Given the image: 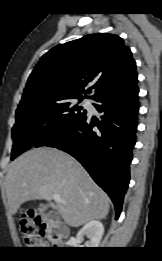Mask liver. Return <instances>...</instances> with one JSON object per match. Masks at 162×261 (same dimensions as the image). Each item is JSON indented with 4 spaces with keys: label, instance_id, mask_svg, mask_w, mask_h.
Returning a JSON list of instances; mask_svg holds the SVG:
<instances>
[{
    "label": "liver",
    "instance_id": "obj_1",
    "mask_svg": "<svg viewBox=\"0 0 162 261\" xmlns=\"http://www.w3.org/2000/svg\"><path fill=\"white\" fill-rule=\"evenodd\" d=\"M53 194H59L61 201L53 203ZM6 196L11 214L26 201L43 199L72 227L104 219L109 212L107 194L81 164L50 147L29 150L12 163L6 175Z\"/></svg>",
    "mask_w": 162,
    "mask_h": 261
}]
</instances>
